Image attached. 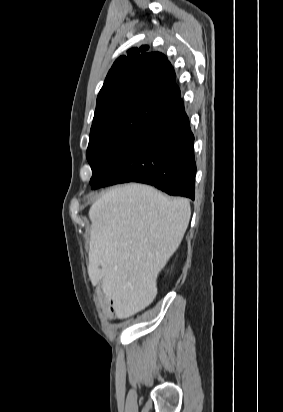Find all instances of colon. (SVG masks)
Instances as JSON below:
<instances>
[{
	"label": "colon",
	"mask_w": 283,
	"mask_h": 412,
	"mask_svg": "<svg viewBox=\"0 0 283 412\" xmlns=\"http://www.w3.org/2000/svg\"><path fill=\"white\" fill-rule=\"evenodd\" d=\"M110 312L112 317H118L120 315L119 309L114 302H111Z\"/></svg>",
	"instance_id": "1"
}]
</instances>
